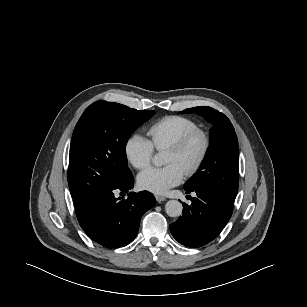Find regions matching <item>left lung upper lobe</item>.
<instances>
[{"instance_id":"left-lung-upper-lobe-1","label":"left lung upper lobe","mask_w":307,"mask_h":307,"mask_svg":"<svg viewBox=\"0 0 307 307\" xmlns=\"http://www.w3.org/2000/svg\"><path fill=\"white\" fill-rule=\"evenodd\" d=\"M183 112L199 114L213 124L205 160L184 188L208 189L234 204L239 184V156L238 139L232 123L223 113L207 106Z\"/></svg>"}]
</instances>
